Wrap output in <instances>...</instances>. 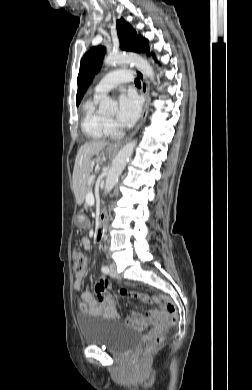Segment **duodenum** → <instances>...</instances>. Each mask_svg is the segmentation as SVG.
I'll return each mask as SVG.
<instances>
[{
    "label": "duodenum",
    "mask_w": 252,
    "mask_h": 390,
    "mask_svg": "<svg viewBox=\"0 0 252 390\" xmlns=\"http://www.w3.org/2000/svg\"><path fill=\"white\" fill-rule=\"evenodd\" d=\"M107 229V215L105 211H101L99 214V229L95 234L96 241H102L105 237Z\"/></svg>",
    "instance_id": "obj_1"
}]
</instances>
